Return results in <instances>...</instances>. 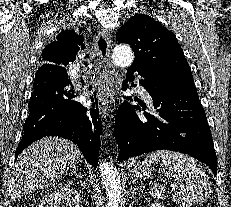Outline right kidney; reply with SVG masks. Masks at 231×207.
<instances>
[{"instance_id": "ca27d5eb", "label": "right kidney", "mask_w": 231, "mask_h": 207, "mask_svg": "<svg viewBox=\"0 0 231 207\" xmlns=\"http://www.w3.org/2000/svg\"><path fill=\"white\" fill-rule=\"evenodd\" d=\"M63 204L66 207H83L80 194L68 185L48 193L38 207H60Z\"/></svg>"}]
</instances>
